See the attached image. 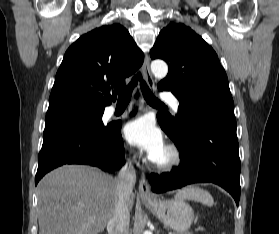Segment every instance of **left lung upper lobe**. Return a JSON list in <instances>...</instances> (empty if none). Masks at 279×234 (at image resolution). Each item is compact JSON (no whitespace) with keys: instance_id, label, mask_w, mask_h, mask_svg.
<instances>
[{"instance_id":"1","label":"left lung upper lobe","mask_w":279,"mask_h":234,"mask_svg":"<svg viewBox=\"0 0 279 234\" xmlns=\"http://www.w3.org/2000/svg\"><path fill=\"white\" fill-rule=\"evenodd\" d=\"M151 58L168 63L169 71L158 88L170 90L179 100L178 115L158 114V122L180 142L183 113L187 110L221 112L234 116L228 78L215 51L190 27L171 22L160 32Z\"/></svg>"}]
</instances>
